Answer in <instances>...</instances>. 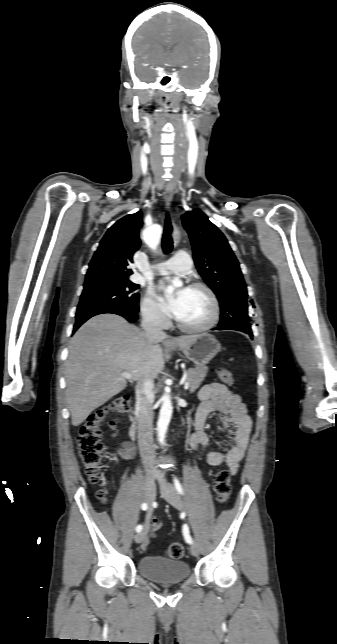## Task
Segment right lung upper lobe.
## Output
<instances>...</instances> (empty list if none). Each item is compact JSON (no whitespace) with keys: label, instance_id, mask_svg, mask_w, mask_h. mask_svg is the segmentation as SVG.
<instances>
[{"label":"right lung upper lobe","instance_id":"right-lung-upper-lobe-1","mask_svg":"<svg viewBox=\"0 0 337 644\" xmlns=\"http://www.w3.org/2000/svg\"><path fill=\"white\" fill-rule=\"evenodd\" d=\"M141 227L140 211L121 218L111 226L89 264L85 282L96 279H128L133 272L127 266L140 247Z\"/></svg>","mask_w":337,"mask_h":644}]
</instances>
